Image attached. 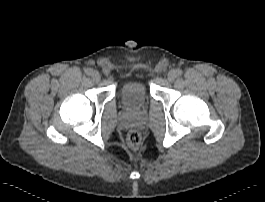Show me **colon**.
Instances as JSON below:
<instances>
[{"mask_svg":"<svg viewBox=\"0 0 265 202\" xmlns=\"http://www.w3.org/2000/svg\"><path fill=\"white\" fill-rule=\"evenodd\" d=\"M142 137L137 131H132L128 134L127 143L131 149H136L141 144Z\"/></svg>","mask_w":265,"mask_h":202,"instance_id":"colon-1","label":"colon"}]
</instances>
